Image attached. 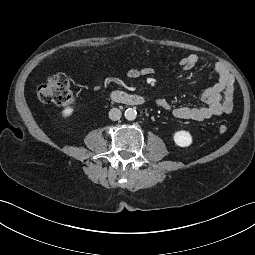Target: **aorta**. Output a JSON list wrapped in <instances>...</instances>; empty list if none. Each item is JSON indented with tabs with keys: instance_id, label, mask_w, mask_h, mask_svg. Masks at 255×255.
<instances>
[{
	"instance_id": "762f6f07",
	"label": "aorta",
	"mask_w": 255,
	"mask_h": 255,
	"mask_svg": "<svg viewBox=\"0 0 255 255\" xmlns=\"http://www.w3.org/2000/svg\"><path fill=\"white\" fill-rule=\"evenodd\" d=\"M137 112L134 108H128L125 111V118L129 121H132L136 118Z\"/></svg>"
}]
</instances>
